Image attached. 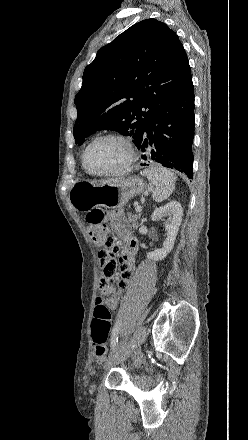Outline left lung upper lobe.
Instances as JSON below:
<instances>
[{
  "instance_id": "obj_1",
  "label": "left lung upper lobe",
  "mask_w": 248,
  "mask_h": 440,
  "mask_svg": "<svg viewBox=\"0 0 248 440\" xmlns=\"http://www.w3.org/2000/svg\"><path fill=\"white\" fill-rule=\"evenodd\" d=\"M191 81L176 33L156 19L136 23L85 68L75 97V143L82 145L96 131L109 129L132 136L137 145L164 101Z\"/></svg>"
}]
</instances>
